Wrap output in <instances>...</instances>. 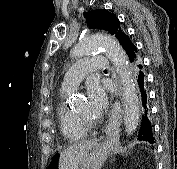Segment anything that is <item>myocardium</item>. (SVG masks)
<instances>
[{
  "label": "myocardium",
  "instance_id": "f54148a6",
  "mask_svg": "<svg viewBox=\"0 0 177 169\" xmlns=\"http://www.w3.org/2000/svg\"><path fill=\"white\" fill-rule=\"evenodd\" d=\"M75 115L77 116L78 120L81 122V124L87 129V130H91L95 127H97L101 120L100 119H90L88 117H86L85 115L79 114L77 112H75Z\"/></svg>",
  "mask_w": 177,
  "mask_h": 169
}]
</instances>
